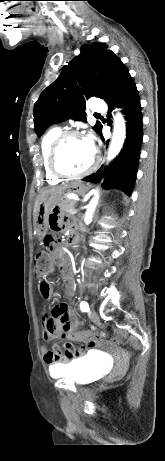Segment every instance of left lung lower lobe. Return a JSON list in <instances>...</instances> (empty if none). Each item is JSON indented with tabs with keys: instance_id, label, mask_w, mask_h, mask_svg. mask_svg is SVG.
Segmentation results:
<instances>
[{
	"instance_id": "obj_1",
	"label": "left lung lower lobe",
	"mask_w": 165,
	"mask_h": 461,
	"mask_svg": "<svg viewBox=\"0 0 165 461\" xmlns=\"http://www.w3.org/2000/svg\"><path fill=\"white\" fill-rule=\"evenodd\" d=\"M105 102L108 104L109 113L113 110L115 105L122 108L125 120L127 121L125 143L118 157L115 158L109 166L105 167L104 171L100 168L96 173L82 180L97 183L104 177L102 183L103 188H117L130 196L136 179L138 159L140 157L143 137V117L138 91L128 69L120 75L115 87L111 94L105 99ZM98 134L104 139L102 136V129Z\"/></svg>"
}]
</instances>
